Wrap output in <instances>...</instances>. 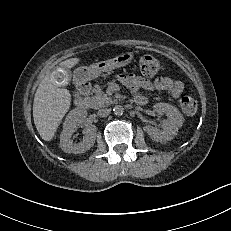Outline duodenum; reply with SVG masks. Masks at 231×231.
Returning <instances> with one entry per match:
<instances>
[{
	"label": "duodenum",
	"mask_w": 231,
	"mask_h": 231,
	"mask_svg": "<svg viewBox=\"0 0 231 231\" xmlns=\"http://www.w3.org/2000/svg\"><path fill=\"white\" fill-rule=\"evenodd\" d=\"M91 85L88 81L78 80L76 83V95L74 98V104L80 109H86L89 106L88 94L90 92ZM134 102L143 105L146 103L145 97H136Z\"/></svg>",
	"instance_id": "duodenum-1"
}]
</instances>
